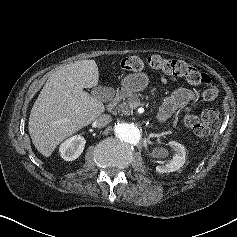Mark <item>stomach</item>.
Returning a JSON list of instances; mask_svg holds the SVG:
<instances>
[{"label": "stomach", "instance_id": "stomach-1", "mask_svg": "<svg viewBox=\"0 0 237 237\" xmlns=\"http://www.w3.org/2000/svg\"><path fill=\"white\" fill-rule=\"evenodd\" d=\"M147 76L143 73H132L122 80V87L128 94L142 91L147 86Z\"/></svg>", "mask_w": 237, "mask_h": 237}]
</instances>
